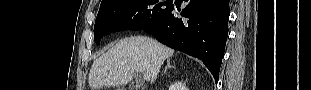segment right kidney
Segmentation results:
<instances>
[{"mask_svg":"<svg viewBox=\"0 0 311 90\" xmlns=\"http://www.w3.org/2000/svg\"><path fill=\"white\" fill-rule=\"evenodd\" d=\"M177 90H187V88L184 86V84L178 83V85L176 86Z\"/></svg>","mask_w":311,"mask_h":90,"instance_id":"right-kidney-1","label":"right kidney"}]
</instances>
